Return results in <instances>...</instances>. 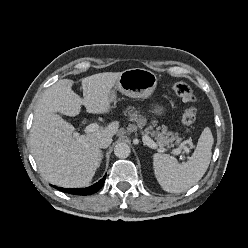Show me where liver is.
I'll list each match as a JSON object with an SVG mask.
<instances>
[{"label": "liver", "instance_id": "obj_1", "mask_svg": "<svg viewBox=\"0 0 248 248\" xmlns=\"http://www.w3.org/2000/svg\"><path fill=\"white\" fill-rule=\"evenodd\" d=\"M121 73L104 72L83 78V99L74 93V81L69 79L59 80L44 91L34 111L30 145L45 180L66 188L85 187L91 182L102 157L96 140L113 137L119 123L111 122L104 129L80 135L57 113L77 116L82 104L90 113H108L109 94Z\"/></svg>", "mask_w": 248, "mask_h": 248}]
</instances>
